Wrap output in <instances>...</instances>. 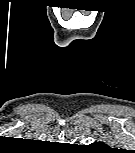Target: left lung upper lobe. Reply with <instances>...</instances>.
I'll list each match as a JSON object with an SVG mask.
<instances>
[{"mask_svg": "<svg viewBox=\"0 0 135 153\" xmlns=\"http://www.w3.org/2000/svg\"><path fill=\"white\" fill-rule=\"evenodd\" d=\"M97 145H98V146H104V144H103V143H97Z\"/></svg>", "mask_w": 135, "mask_h": 153, "instance_id": "obj_1", "label": "left lung upper lobe"}]
</instances>
